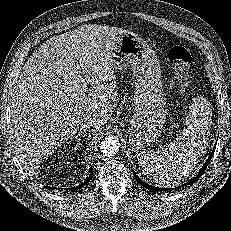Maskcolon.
<instances>
[{"label":"colon","mask_w":231,"mask_h":231,"mask_svg":"<svg viewBox=\"0 0 231 231\" xmlns=\"http://www.w3.org/2000/svg\"><path fill=\"white\" fill-rule=\"evenodd\" d=\"M168 59L171 62L175 88L183 94L188 89L192 57L190 52L182 46H174L169 50Z\"/></svg>","instance_id":"obj_1"}]
</instances>
